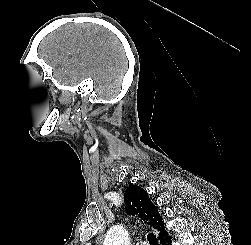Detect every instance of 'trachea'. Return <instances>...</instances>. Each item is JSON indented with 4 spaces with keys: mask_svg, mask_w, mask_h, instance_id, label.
<instances>
[{
    "mask_svg": "<svg viewBox=\"0 0 251 245\" xmlns=\"http://www.w3.org/2000/svg\"><path fill=\"white\" fill-rule=\"evenodd\" d=\"M147 239H148L150 245H158L157 238L153 233H149L147 236Z\"/></svg>",
    "mask_w": 251,
    "mask_h": 245,
    "instance_id": "trachea-1",
    "label": "trachea"
}]
</instances>
